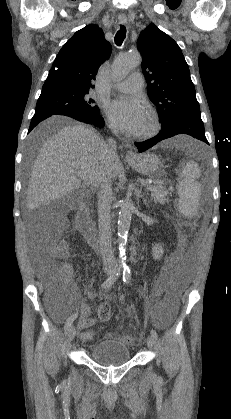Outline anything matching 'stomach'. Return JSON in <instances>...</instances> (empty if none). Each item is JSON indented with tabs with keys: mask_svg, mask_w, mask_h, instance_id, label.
I'll return each mask as SVG.
<instances>
[{
	"mask_svg": "<svg viewBox=\"0 0 231 419\" xmlns=\"http://www.w3.org/2000/svg\"><path fill=\"white\" fill-rule=\"evenodd\" d=\"M129 165L137 172L149 176L150 178H159L161 172V162L158 155L150 152L137 154L134 159H128Z\"/></svg>",
	"mask_w": 231,
	"mask_h": 419,
	"instance_id": "0dacf381",
	"label": "stomach"
}]
</instances>
